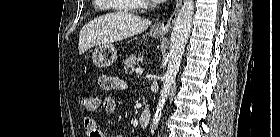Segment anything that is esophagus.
<instances>
[{"mask_svg":"<svg viewBox=\"0 0 280 137\" xmlns=\"http://www.w3.org/2000/svg\"><path fill=\"white\" fill-rule=\"evenodd\" d=\"M182 0H175V9L169 19L159 22L153 26V31L159 34H166L173 26L178 11L180 9Z\"/></svg>","mask_w":280,"mask_h":137,"instance_id":"34e87169","label":"esophagus"}]
</instances>
